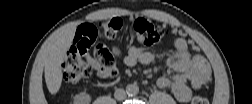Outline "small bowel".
<instances>
[{
	"mask_svg": "<svg viewBox=\"0 0 252 104\" xmlns=\"http://www.w3.org/2000/svg\"><path fill=\"white\" fill-rule=\"evenodd\" d=\"M175 51L169 55L165 64L175 74H164L156 83L159 88H170L176 99L180 102H188L191 98V90L199 89L211 79V68L208 62L200 55H193L184 38L174 39ZM154 56L146 48L135 46L130 48L124 57V63L133 67L140 63L150 65ZM87 63L101 79L109 77V73L100 63L97 56L88 55Z\"/></svg>",
	"mask_w": 252,
	"mask_h": 104,
	"instance_id": "small-bowel-1",
	"label": "small bowel"
}]
</instances>
